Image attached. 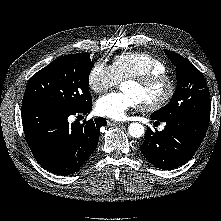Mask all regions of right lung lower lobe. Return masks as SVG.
I'll return each instance as SVG.
<instances>
[{
  "label": "right lung lower lobe",
  "instance_id": "98d812e1",
  "mask_svg": "<svg viewBox=\"0 0 221 221\" xmlns=\"http://www.w3.org/2000/svg\"><path fill=\"white\" fill-rule=\"evenodd\" d=\"M42 103L22 105L24 134L37 162L49 172L67 175L76 172L96 149L104 118L69 123L70 115L88 113Z\"/></svg>",
  "mask_w": 221,
  "mask_h": 221
}]
</instances>
